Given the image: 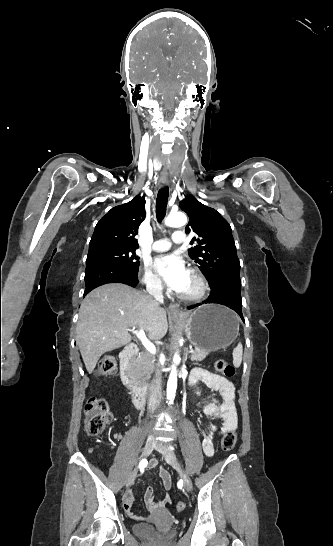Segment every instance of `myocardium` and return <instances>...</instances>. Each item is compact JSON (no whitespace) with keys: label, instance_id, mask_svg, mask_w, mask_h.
<instances>
[{"label":"myocardium","instance_id":"myocardium-1","mask_svg":"<svg viewBox=\"0 0 333 546\" xmlns=\"http://www.w3.org/2000/svg\"><path fill=\"white\" fill-rule=\"evenodd\" d=\"M190 273H191V275L193 276V278L197 281V283L199 285L198 291L193 293V294L178 293V296H179V298H181L183 300H186V301L201 300L202 298H204L206 296V294L209 291L208 282H207V280L205 279V277L203 276V274L199 270H197L195 268H192L190 270Z\"/></svg>","mask_w":333,"mask_h":546}]
</instances>
